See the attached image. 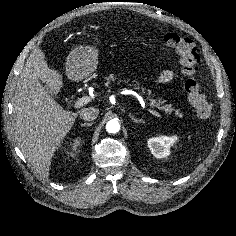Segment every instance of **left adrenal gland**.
Segmentation results:
<instances>
[{"label": "left adrenal gland", "instance_id": "obj_1", "mask_svg": "<svg viewBox=\"0 0 236 236\" xmlns=\"http://www.w3.org/2000/svg\"><path fill=\"white\" fill-rule=\"evenodd\" d=\"M129 117L133 120L134 123H143V119L135 118L131 113H129Z\"/></svg>", "mask_w": 236, "mask_h": 236}]
</instances>
